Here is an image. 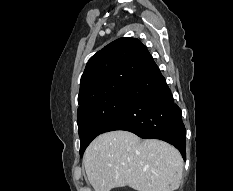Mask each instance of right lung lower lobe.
I'll use <instances>...</instances> for the list:
<instances>
[{
    "label": "right lung lower lobe",
    "instance_id": "1",
    "mask_svg": "<svg viewBox=\"0 0 233 191\" xmlns=\"http://www.w3.org/2000/svg\"><path fill=\"white\" fill-rule=\"evenodd\" d=\"M125 108L102 130H126L175 146L186 159L185 126L180 108L153 58L128 90Z\"/></svg>",
    "mask_w": 233,
    "mask_h": 191
}]
</instances>
